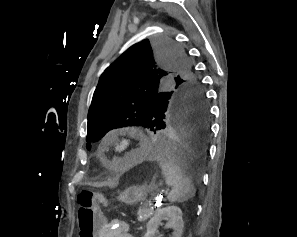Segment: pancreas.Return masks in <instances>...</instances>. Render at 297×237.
Wrapping results in <instances>:
<instances>
[{"mask_svg": "<svg viewBox=\"0 0 297 237\" xmlns=\"http://www.w3.org/2000/svg\"><path fill=\"white\" fill-rule=\"evenodd\" d=\"M154 214V212L147 208V207H141L139 208L137 215H138V221L139 222H145L147 219H149L152 215Z\"/></svg>", "mask_w": 297, "mask_h": 237, "instance_id": "1", "label": "pancreas"}]
</instances>
